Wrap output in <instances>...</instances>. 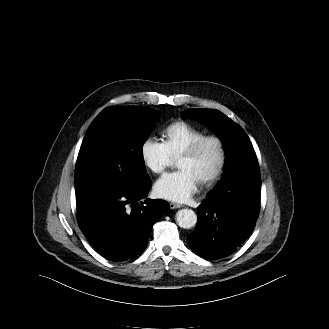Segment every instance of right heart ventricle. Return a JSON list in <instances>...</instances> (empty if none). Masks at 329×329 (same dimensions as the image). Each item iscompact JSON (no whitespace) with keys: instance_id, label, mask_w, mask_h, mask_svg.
I'll return each mask as SVG.
<instances>
[{"instance_id":"right-heart-ventricle-1","label":"right heart ventricle","mask_w":329,"mask_h":329,"mask_svg":"<svg viewBox=\"0 0 329 329\" xmlns=\"http://www.w3.org/2000/svg\"><path fill=\"white\" fill-rule=\"evenodd\" d=\"M205 135V131L185 121L169 124L162 132L164 144L173 158L179 155L195 140Z\"/></svg>"}]
</instances>
